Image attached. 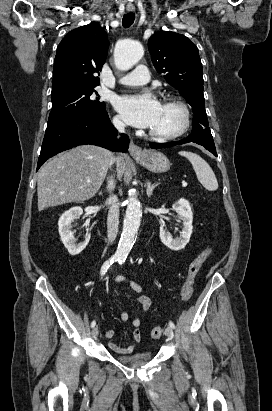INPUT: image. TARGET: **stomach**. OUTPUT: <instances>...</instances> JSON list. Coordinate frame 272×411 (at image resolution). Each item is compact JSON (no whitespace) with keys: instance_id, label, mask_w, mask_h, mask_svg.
Wrapping results in <instances>:
<instances>
[{"instance_id":"stomach-1","label":"stomach","mask_w":272,"mask_h":411,"mask_svg":"<svg viewBox=\"0 0 272 411\" xmlns=\"http://www.w3.org/2000/svg\"><path fill=\"white\" fill-rule=\"evenodd\" d=\"M134 158L152 172H166L170 168L168 158L161 152L149 151L144 156Z\"/></svg>"}]
</instances>
